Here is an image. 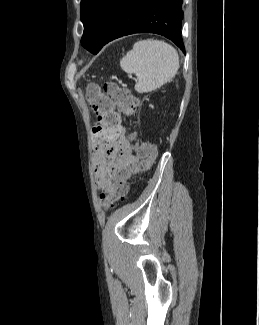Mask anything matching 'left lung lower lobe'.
<instances>
[{
  "instance_id": "obj_1",
  "label": "left lung lower lobe",
  "mask_w": 259,
  "mask_h": 325,
  "mask_svg": "<svg viewBox=\"0 0 259 325\" xmlns=\"http://www.w3.org/2000/svg\"><path fill=\"white\" fill-rule=\"evenodd\" d=\"M183 0H122L105 34L108 42L133 33L163 35L185 52L181 35Z\"/></svg>"
}]
</instances>
